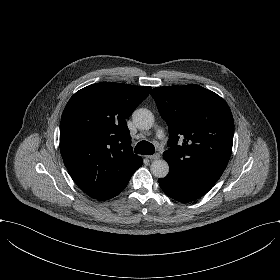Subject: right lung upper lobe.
<instances>
[{"mask_svg":"<svg viewBox=\"0 0 280 280\" xmlns=\"http://www.w3.org/2000/svg\"><path fill=\"white\" fill-rule=\"evenodd\" d=\"M150 90L101 82L68 101L60 123V151L73 181L91 198L115 197L143 164L133 154L126 119Z\"/></svg>","mask_w":280,"mask_h":280,"instance_id":"cb5924a9","label":"right lung upper lobe"}]
</instances>
